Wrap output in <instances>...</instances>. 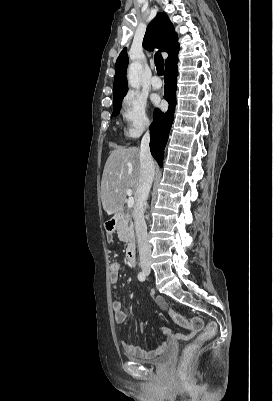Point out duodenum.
<instances>
[{
  "label": "duodenum",
  "mask_w": 273,
  "mask_h": 401,
  "mask_svg": "<svg viewBox=\"0 0 273 401\" xmlns=\"http://www.w3.org/2000/svg\"><path fill=\"white\" fill-rule=\"evenodd\" d=\"M124 218H126V215L123 213L114 215L106 224L107 232L109 234L113 233L116 229L118 222ZM126 258L131 266H134L136 264V244L134 242H131L128 245L126 251Z\"/></svg>",
  "instance_id": "duodenum-1"
}]
</instances>
